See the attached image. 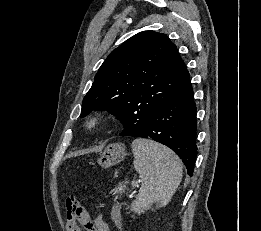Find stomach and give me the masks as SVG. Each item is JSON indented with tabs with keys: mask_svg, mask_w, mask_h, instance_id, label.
<instances>
[{
	"mask_svg": "<svg viewBox=\"0 0 261 231\" xmlns=\"http://www.w3.org/2000/svg\"><path fill=\"white\" fill-rule=\"evenodd\" d=\"M126 156L125 148L119 143H113L106 147L98 158V164L108 168L121 162Z\"/></svg>",
	"mask_w": 261,
	"mask_h": 231,
	"instance_id": "0dacf381",
	"label": "stomach"
}]
</instances>
